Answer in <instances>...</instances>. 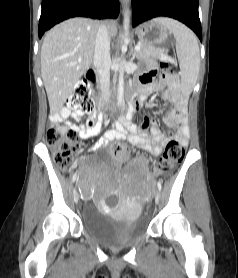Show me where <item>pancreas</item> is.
Instances as JSON below:
<instances>
[{
  "label": "pancreas",
  "instance_id": "obj_1",
  "mask_svg": "<svg viewBox=\"0 0 238 278\" xmlns=\"http://www.w3.org/2000/svg\"><path fill=\"white\" fill-rule=\"evenodd\" d=\"M140 45L141 49L136 53V56L139 60H144L148 58L163 59L166 57L164 51L161 49H158L151 45H147L145 43H140Z\"/></svg>",
  "mask_w": 238,
  "mask_h": 278
}]
</instances>
